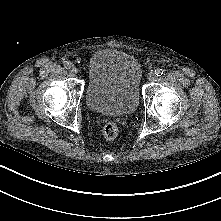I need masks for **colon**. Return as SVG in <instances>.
I'll use <instances>...</instances> for the list:
<instances>
[{"label":"colon","instance_id":"1","mask_svg":"<svg viewBox=\"0 0 221 221\" xmlns=\"http://www.w3.org/2000/svg\"><path fill=\"white\" fill-rule=\"evenodd\" d=\"M102 134L108 140L115 139L119 134V128L115 123L109 122L104 125Z\"/></svg>","mask_w":221,"mask_h":221}]
</instances>
